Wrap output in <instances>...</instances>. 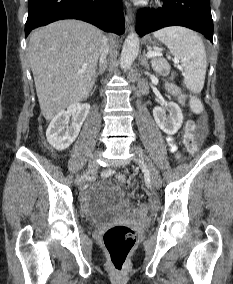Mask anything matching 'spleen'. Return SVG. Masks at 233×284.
Here are the masks:
<instances>
[{
    "mask_svg": "<svg viewBox=\"0 0 233 284\" xmlns=\"http://www.w3.org/2000/svg\"><path fill=\"white\" fill-rule=\"evenodd\" d=\"M153 35L180 60L186 87L194 93H200L207 69L206 51L201 37L190 29L179 26L158 30Z\"/></svg>",
    "mask_w": 233,
    "mask_h": 284,
    "instance_id": "1",
    "label": "spleen"
}]
</instances>
